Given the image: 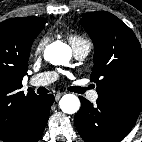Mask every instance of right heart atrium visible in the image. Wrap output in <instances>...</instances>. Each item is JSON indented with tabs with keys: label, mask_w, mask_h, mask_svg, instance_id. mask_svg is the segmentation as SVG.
Returning a JSON list of instances; mask_svg holds the SVG:
<instances>
[{
	"label": "right heart atrium",
	"mask_w": 142,
	"mask_h": 142,
	"mask_svg": "<svg viewBox=\"0 0 142 142\" xmlns=\"http://www.w3.org/2000/svg\"><path fill=\"white\" fill-rule=\"evenodd\" d=\"M46 43H47V38H46V37H43V38L36 44L35 49H34L35 53H36V54H39L40 52H42L43 49H44V47H45V45H46Z\"/></svg>",
	"instance_id": "d8ad5b80"
}]
</instances>
